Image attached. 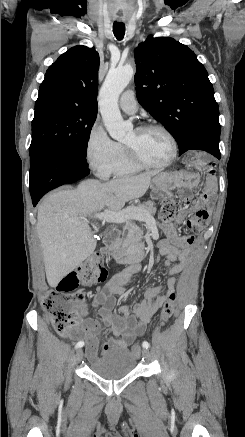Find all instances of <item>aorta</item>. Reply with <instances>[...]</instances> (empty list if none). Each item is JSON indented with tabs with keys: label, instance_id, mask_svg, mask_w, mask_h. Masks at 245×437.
Here are the masks:
<instances>
[{
	"label": "aorta",
	"instance_id": "aorta-1",
	"mask_svg": "<svg viewBox=\"0 0 245 437\" xmlns=\"http://www.w3.org/2000/svg\"><path fill=\"white\" fill-rule=\"evenodd\" d=\"M134 70L130 65L109 70L99 92V106L109 135L116 140L124 138L129 126L123 121L118 98L132 79Z\"/></svg>",
	"mask_w": 245,
	"mask_h": 437
}]
</instances>
